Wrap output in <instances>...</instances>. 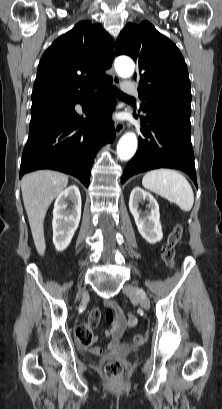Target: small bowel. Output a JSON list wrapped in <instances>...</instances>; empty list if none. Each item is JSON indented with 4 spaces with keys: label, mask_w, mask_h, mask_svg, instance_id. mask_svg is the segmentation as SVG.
Returning <instances> with one entry per match:
<instances>
[{
    "label": "small bowel",
    "mask_w": 222,
    "mask_h": 409,
    "mask_svg": "<svg viewBox=\"0 0 222 409\" xmlns=\"http://www.w3.org/2000/svg\"><path fill=\"white\" fill-rule=\"evenodd\" d=\"M106 305L112 309L115 314V320H113L111 327L105 331V335L110 338V341L105 347H99L93 345L97 337L93 334L92 342L87 345H82L85 349H88L94 355H102L106 352L114 349L120 342L125 331L136 324V318L130 314L125 313L120 305L115 302L108 300ZM100 320V312L98 309H93L88 318V327L91 329L92 333L95 328H97Z\"/></svg>",
    "instance_id": "obj_1"
}]
</instances>
